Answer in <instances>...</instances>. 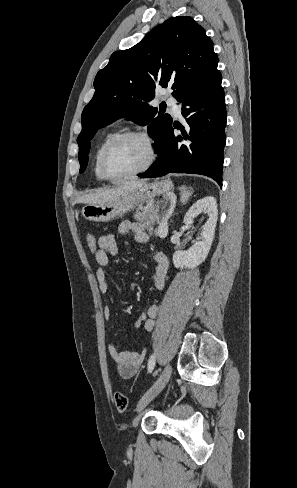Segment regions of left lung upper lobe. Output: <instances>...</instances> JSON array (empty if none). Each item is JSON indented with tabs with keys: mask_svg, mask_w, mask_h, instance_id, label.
<instances>
[{
	"mask_svg": "<svg viewBox=\"0 0 297 488\" xmlns=\"http://www.w3.org/2000/svg\"><path fill=\"white\" fill-rule=\"evenodd\" d=\"M212 40L191 17L177 16L155 27L130 49L114 52L94 80L95 94L82 112L78 136L80 173L88 163L97 130L126 117L148 125L158 152L172 118L149 105L155 88L172 86L179 102L201 89L217 72Z\"/></svg>",
	"mask_w": 297,
	"mask_h": 488,
	"instance_id": "left-lung-upper-lobe-1",
	"label": "left lung upper lobe"
}]
</instances>
